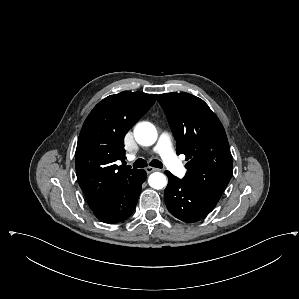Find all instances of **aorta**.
I'll return each instance as SVG.
<instances>
[{"mask_svg": "<svg viewBox=\"0 0 299 299\" xmlns=\"http://www.w3.org/2000/svg\"><path fill=\"white\" fill-rule=\"evenodd\" d=\"M134 137L138 144L150 146L157 140V130L150 122H141L134 129ZM148 183L152 188L159 190L166 187L167 179L164 174L155 172L149 176Z\"/></svg>", "mask_w": 299, "mask_h": 299, "instance_id": "aorta-1", "label": "aorta"}]
</instances>
